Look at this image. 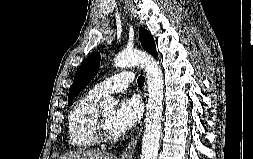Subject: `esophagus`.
I'll return each instance as SVG.
<instances>
[{"mask_svg":"<svg viewBox=\"0 0 253 159\" xmlns=\"http://www.w3.org/2000/svg\"><path fill=\"white\" fill-rule=\"evenodd\" d=\"M141 133H142V127L137 131L135 136L128 142L125 150L123 151L121 155V159H132L135 152L136 145L141 136Z\"/></svg>","mask_w":253,"mask_h":159,"instance_id":"esophagus-1","label":"esophagus"}]
</instances>
